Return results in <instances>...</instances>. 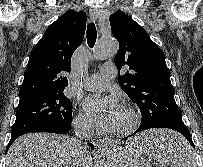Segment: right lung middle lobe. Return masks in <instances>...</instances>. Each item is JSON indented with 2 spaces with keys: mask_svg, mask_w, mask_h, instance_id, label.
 Masks as SVG:
<instances>
[{
  "mask_svg": "<svg viewBox=\"0 0 203 167\" xmlns=\"http://www.w3.org/2000/svg\"><path fill=\"white\" fill-rule=\"evenodd\" d=\"M72 122V103L63 90L19 102L11 138L48 126Z\"/></svg>",
  "mask_w": 203,
  "mask_h": 167,
  "instance_id": "obj_1",
  "label": "right lung middle lobe"
}]
</instances>
